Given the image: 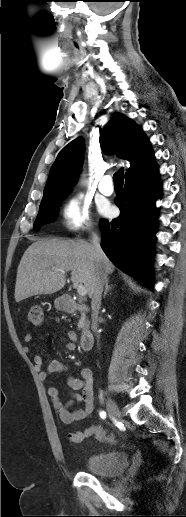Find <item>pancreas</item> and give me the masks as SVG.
<instances>
[{
    "label": "pancreas",
    "mask_w": 186,
    "mask_h": 517,
    "mask_svg": "<svg viewBox=\"0 0 186 517\" xmlns=\"http://www.w3.org/2000/svg\"><path fill=\"white\" fill-rule=\"evenodd\" d=\"M89 323H90L89 320L86 319V317L82 315L81 319L79 320V323H78V329L88 326Z\"/></svg>",
    "instance_id": "cf45deb5"
}]
</instances>
